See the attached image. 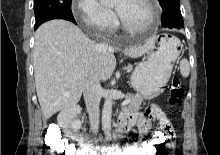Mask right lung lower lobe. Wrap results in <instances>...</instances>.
Returning <instances> with one entry per match:
<instances>
[{"mask_svg":"<svg viewBox=\"0 0 220 155\" xmlns=\"http://www.w3.org/2000/svg\"><path fill=\"white\" fill-rule=\"evenodd\" d=\"M52 19H65V20L74 22L76 24L73 16H68V15H64V14H56V15L49 16L39 22H36L34 28L37 29L42 23L49 21V20H52Z\"/></svg>","mask_w":220,"mask_h":155,"instance_id":"98d812e1","label":"right lung lower lobe"}]
</instances>
